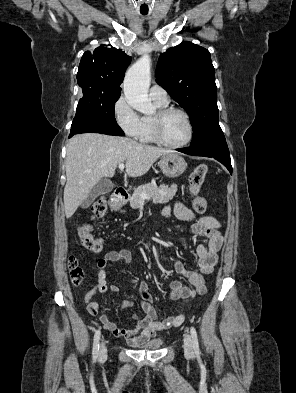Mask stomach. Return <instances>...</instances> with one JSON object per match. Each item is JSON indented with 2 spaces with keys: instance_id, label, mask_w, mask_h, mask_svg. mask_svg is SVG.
I'll return each mask as SVG.
<instances>
[{
  "instance_id": "1",
  "label": "stomach",
  "mask_w": 296,
  "mask_h": 393,
  "mask_svg": "<svg viewBox=\"0 0 296 393\" xmlns=\"http://www.w3.org/2000/svg\"><path fill=\"white\" fill-rule=\"evenodd\" d=\"M159 167L167 177L180 176L187 167L184 158L176 153L163 155L159 161Z\"/></svg>"
}]
</instances>
